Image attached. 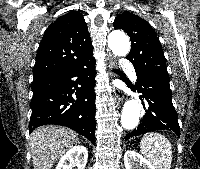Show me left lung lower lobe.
<instances>
[{
    "instance_id": "0a47b994",
    "label": "left lung lower lobe",
    "mask_w": 200,
    "mask_h": 169,
    "mask_svg": "<svg viewBox=\"0 0 200 169\" xmlns=\"http://www.w3.org/2000/svg\"><path fill=\"white\" fill-rule=\"evenodd\" d=\"M137 90L143 94L146 102L145 115L139 126L126 138L138 136L155 130H170L180 135L177 112L172 104V92L169 81L156 78L136 70Z\"/></svg>"
}]
</instances>
